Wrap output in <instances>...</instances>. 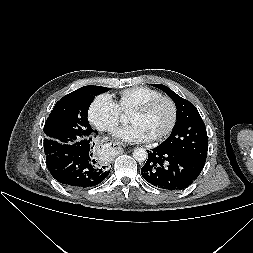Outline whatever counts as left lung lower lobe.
I'll return each mask as SVG.
<instances>
[{
    "instance_id": "left-lung-lower-lobe-1",
    "label": "left lung lower lobe",
    "mask_w": 253,
    "mask_h": 253,
    "mask_svg": "<svg viewBox=\"0 0 253 253\" xmlns=\"http://www.w3.org/2000/svg\"><path fill=\"white\" fill-rule=\"evenodd\" d=\"M203 166L187 155L159 145L148 151V160L141 169V175L158 188L178 191L191 185Z\"/></svg>"
}]
</instances>
